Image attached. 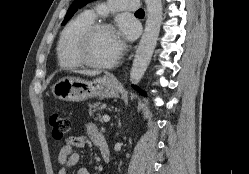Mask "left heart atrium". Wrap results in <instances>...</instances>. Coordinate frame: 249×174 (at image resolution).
<instances>
[{
    "mask_svg": "<svg viewBox=\"0 0 249 174\" xmlns=\"http://www.w3.org/2000/svg\"><path fill=\"white\" fill-rule=\"evenodd\" d=\"M121 34L129 37L135 36V27L132 23L125 22L121 25Z\"/></svg>",
    "mask_w": 249,
    "mask_h": 174,
    "instance_id": "1",
    "label": "left heart atrium"
}]
</instances>
